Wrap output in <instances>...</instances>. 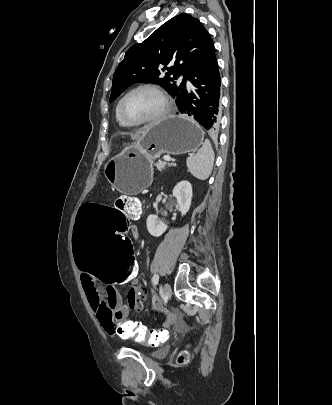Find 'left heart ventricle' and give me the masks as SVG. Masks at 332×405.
I'll return each instance as SVG.
<instances>
[{
	"mask_svg": "<svg viewBox=\"0 0 332 405\" xmlns=\"http://www.w3.org/2000/svg\"><path fill=\"white\" fill-rule=\"evenodd\" d=\"M162 108V100L157 93L141 89L129 95L123 104V112L131 121H141L155 116Z\"/></svg>",
	"mask_w": 332,
	"mask_h": 405,
	"instance_id": "1",
	"label": "left heart ventricle"
}]
</instances>
